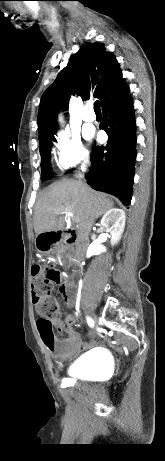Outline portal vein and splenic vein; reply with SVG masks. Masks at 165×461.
<instances>
[{"label":"portal vein and splenic vein","mask_w":165,"mask_h":461,"mask_svg":"<svg viewBox=\"0 0 165 461\" xmlns=\"http://www.w3.org/2000/svg\"><path fill=\"white\" fill-rule=\"evenodd\" d=\"M66 215H67V216H72V217H73L72 213H69V212H66Z\"/></svg>","instance_id":"1"}]
</instances>
